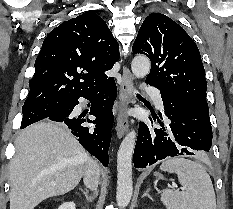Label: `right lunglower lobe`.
Segmentation results:
<instances>
[{"mask_svg": "<svg viewBox=\"0 0 233 209\" xmlns=\"http://www.w3.org/2000/svg\"><path fill=\"white\" fill-rule=\"evenodd\" d=\"M117 96V87L113 78H110L100 87L76 96L67 108L54 113L43 120L62 122L71 129L72 134L78 137L81 145L105 166H108L109 156L107 151L111 141V129L113 125L112 105ZM84 97L92 103L90 115L96 119L91 121L85 115L75 116L72 111L79 104L78 98ZM85 123H96V127L91 129ZM23 129V128H22Z\"/></svg>", "mask_w": 233, "mask_h": 209, "instance_id": "right-lung-lower-lobe-1", "label": "right lung lower lobe"}]
</instances>
